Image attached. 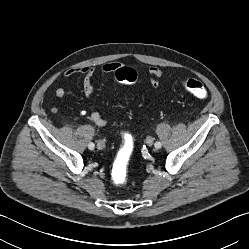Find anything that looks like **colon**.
<instances>
[{
	"mask_svg": "<svg viewBox=\"0 0 249 249\" xmlns=\"http://www.w3.org/2000/svg\"><path fill=\"white\" fill-rule=\"evenodd\" d=\"M115 79L125 84H133L137 81V73L132 68L121 67L115 72ZM182 87L197 98L203 99L208 95L207 89L198 80L188 79L181 82ZM133 150V139L124 134L123 144L118 152L113 166V180L116 185L122 184L127 176L129 158Z\"/></svg>",
	"mask_w": 249,
	"mask_h": 249,
	"instance_id": "1",
	"label": "colon"
}]
</instances>
